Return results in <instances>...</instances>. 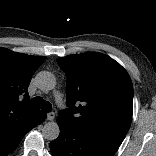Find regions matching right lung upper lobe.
Instances as JSON below:
<instances>
[{"label":"right lung upper lobe","mask_w":156,"mask_h":156,"mask_svg":"<svg viewBox=\"0 0 156 156\" xmlns=\"http://www.w3.org/2000/svg\"><path fill=\"white\" fill-rule=\"evenodd\" d=\"M44 56H30L0 48V129L31 121L40 110L27 105V88ZM24 99L19 101V96Z\"/></svg>","instance_id":"obj_1"}]
</instances>
